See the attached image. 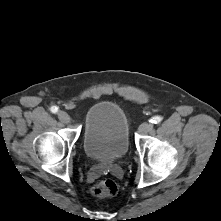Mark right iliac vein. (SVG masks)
<instances>
[{"instance_id":"obj_1","label":"right iliac vein","mask_w":221,"mask_h":221,"mask_svg":"<svg viewBox=\"0 0 221 221\" xmlns=\"http://www.w3.org/2000/svg\"><path fill=\"white\" fill-rule=\"evenodd\" d=\"M58 118L63 123H69L71 121L70 116L65 111H59L58 112Z\"/></svg>"}]
</instances>
